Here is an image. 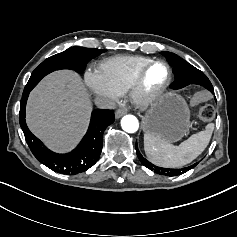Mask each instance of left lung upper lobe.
<instances>
[{
  "label": "left lung upper lobe",
  "mask_w": 237,
  "mask_h": 237,
  "mask_svg": "<svg viewBox=\"0 0 237 237\" xmlns=\"http://www.w3.org/2000/svg\"><path fill=\"white\" fill-rule=\"evenodd\" d=\"M173 66V71L175 73V81L171 85L172 89H181L190 84H196L205 87L206 89H212L213 86L207 76L179 56L171 52H161ZM136 152L139 160L141 163L147 167L148 169L158 173L160 175L166 176H177L183 174L196 166L198 163H195L192 166L185 167L182 169H169V168H161L153 165L149 161H147L143 156L140 154L137 144H136Z\"/></svg>",
  "instance_id": "1"
}]
</instances>
